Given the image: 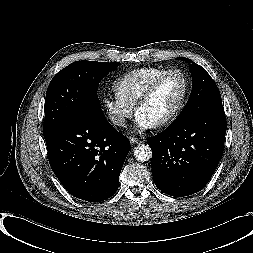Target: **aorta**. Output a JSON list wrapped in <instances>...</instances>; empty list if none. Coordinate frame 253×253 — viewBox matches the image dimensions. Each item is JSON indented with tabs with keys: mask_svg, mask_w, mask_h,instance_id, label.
<instances>
[{
	"mask_svg": "<svg viewBox=\"0 0 253 253\" xmlns=\"http://www.w3.org/2000/svg\"><path fill=\"white\" fill-rule=\"evenodd\" d=\"M134 156L138 161H148L152 156L151 148L148 145H139L134 150Z\"/></svg>",
	"mask_w": 253,
	"mask_h": 253,
	"instance_id": "obj_1",
	"label": "aorta"
}]
</instances>
